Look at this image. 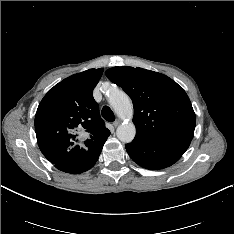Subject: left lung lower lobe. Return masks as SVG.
<instances>
[{"mask_svg": "<svg viewBox=\"0 0 234 234\" xmlns=\"http://www.w3.org/2000/svg\"><path fill=\"white\" fill-rule=\"evenodd\" d=\"M190 145L184 140H134L126 144L129 156L138 165L157 170L171 166L180 159Z\"/></svg>", "mask_w": 234, "mask_h": 234, "instance_id": "1", "label": "left lung lower lobe"}]
</instances>
